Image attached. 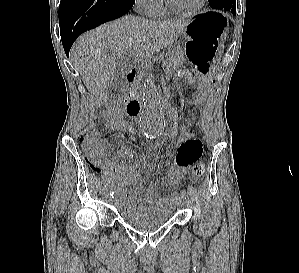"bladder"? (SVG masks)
<instances>
[{
  "mask_svg": "<svg viewBox=\"0 0 299 273\" xmlns=\"http://www.w3.org/2000/svg\"><path fill=\"white\" fill-rule=\"evenodd\" d=\"M173 209L174 202L172 203L171 207L157 209L147 216L121 211L119 212V218L127 226L137 231L145 232L154 230L167 224L172 218Z\"/></svg>",
  "mask_w": 299,
  "mask_h": 273,
  "instance_id": "bladder-1",
  "label": "bladder"
}]
</instances>
